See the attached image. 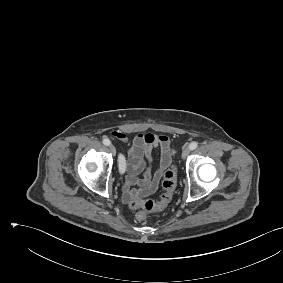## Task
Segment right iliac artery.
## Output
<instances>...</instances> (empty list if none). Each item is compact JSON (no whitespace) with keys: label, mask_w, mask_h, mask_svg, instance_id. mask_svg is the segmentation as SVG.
<instances>
[{"label":"right iliac artery","mask_w":283,"mask_h":283,"mask_svg":"<svg viewBox=\"0 0 283 283\" xmlns=\"http://www.w3.org/2000/svg\"><path fill=\"white\" fill-rule=\"evenodd\" d=\"M103 144L106 146H109L111 144L110 140L105 138L103 139ZM118 163H119V170L121 173L125 172V168H126V163H125V158L122 154L119 155L118 157Z\"/></svg>","instance_id":"1"}]
</instances>
